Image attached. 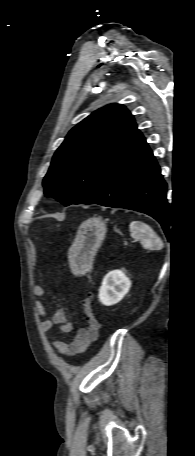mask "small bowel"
I'll return each mask as SVG.
<instances>
[{"mask_svg":"<svg viewBox=\"0 0 195 456\" xmlns=\"http://www.w3.org/2000/svg\"><path fill=\"white\" fill-rule=\"evenodd\" d=\"M33 293L37 297H43L45 295V290L42 286L35 285L33 287ZM82 306L87 323L86 327L79 329L75 336L69 341L59 338H54L51 341L52 346L63 356L72 357L84 353L98 338L100 324L94 316L90 294L84 297ZM35 308L42 317L47 315L46 308L41 301L35 303ZM56 326L62 333H69L72 330L71 322L68 320L65 312L61 309L57 310L50 319H46L42 322V328L45 333H50Z\"/></svg>","mask_w":195,"mask_h":456,"instance_id":"c3829d8e","label":"small bowel"}]
</instances>
